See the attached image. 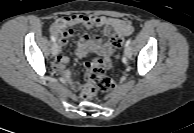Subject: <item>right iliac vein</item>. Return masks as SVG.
Listing matches in <instances>:
<instances>
[{"label": "right iliac vein", "mask_w": 194, "mask_h": 133, "mask_svg": "<svg viewBox=\"0 0 194 133\" xmlns=\"http://www.w3.org/2000/svg\"><path fill=\"white\" fill-rule=\"evenodd\" d=\"M51 52H52L53 56H57L58 55L59 48H58V45L57 44H53L52 45Z\"/></svg>", "instance_id": "obj_1"}]
</instances>
